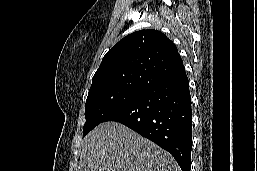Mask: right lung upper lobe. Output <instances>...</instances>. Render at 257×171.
Returning <instances> with one entry per match:
<instances>
[{
    "instance_id": "1",
    "label": "right lung upper lobe",
    "mask_w": 257,
    "mask_h": 171,
    "mask_svg": "<svg viewBox=\"0 0 257 171\" xmlns=\"http://www.w3.org/2000/svg\"><path fill=\"white\" fill-rule=\"evenodd\" d=\"M183 68L171 40L160 31L141 30L124 37L106 53L90 89L117 83L149 87Z\"/></svg>"
}]
</instances>
